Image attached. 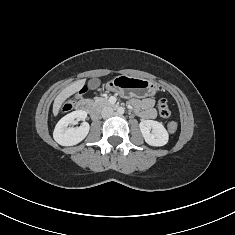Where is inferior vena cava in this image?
Listing matches in <instances>:
<instances>
[{
	"label": "inferior vena cava",
	"instance_id": "obj_1",
	"mask_svg": "<svg viewBox=\"0 0 235 235\" xmlns=\"http://www.w3.org/2000/svg\"><path fill=\"white\" fill-rule=\"evenodd\" d=\"M101 115L103 118H108L113 115V109L110 107H104L101 111Z\"/></svg>",
	"mask_w": 235,
	"mask_h": 235
}]
</instances>
